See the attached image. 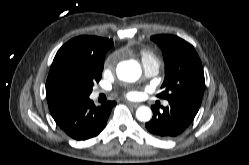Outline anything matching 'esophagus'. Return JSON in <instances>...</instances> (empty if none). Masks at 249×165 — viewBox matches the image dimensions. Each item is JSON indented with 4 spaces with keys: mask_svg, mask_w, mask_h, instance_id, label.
Here are the masks:
<instances>
[{
    "mask_svg": "<svg viewBox=\"0 0 249 165\" xmlns=\"http://www.w3.org/2000/svg\"><path fill=\"white\" fill-rule=\"evenodd\" d=\"M127 105L130 106V107H133V108H137V107H139L140 104L133 103V102H127Z\"/></svg>",
    "mask_w": 249,
    "mask_h": 165,
    "instance_id": "1",
    "label": "esophagus"
}]
</instances>
